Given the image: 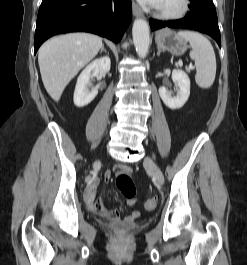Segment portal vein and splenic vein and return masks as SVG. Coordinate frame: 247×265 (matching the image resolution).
I'll return each mask as SVG.
<instances>
[{
  "mask_svg": "<svg viewBox=\"0 0 247 265\" xmlns=\"http://www.w3.org/2000/svg\"><path fill=\"white\" fill-rule=\"evenodd\" d=\"M180 66H182V62L180 61ZM190 68H193L192 65H190Z\"/></svg>",
  "mask_w": 247,
  "mask_h": 265,
  "instance_id": "1",
  "label": "portal vein and splenic vein"
}]
</instances>
